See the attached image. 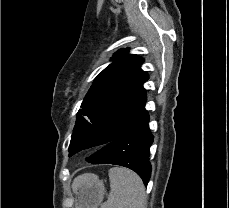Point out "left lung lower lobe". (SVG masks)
Listing matches in <instances>:
<instances>
[{
    "label": "left lung lower lobe",
    "mask_w": 229,
    "mask_h": 208,
    "mask_svg": "<svg viewBox=\"0 0 229 208\" xmlns=\"http://www.w3.org/2000/svg\"><path fill=\"white\" fill-rule=\"evenodd\" d=\"M149 116L146 113L127 128L100 131L85 142L69 151V156L93 146L106 144L101 150L87 158L93 164H114L135 171L146 186L151 177L149 148L153 135L148 128Z\"/></svg>",
    "instance_id": "obj_1"
}]
</instances>
